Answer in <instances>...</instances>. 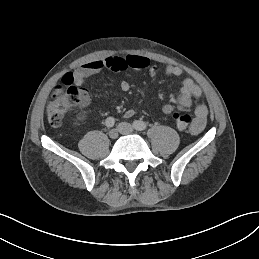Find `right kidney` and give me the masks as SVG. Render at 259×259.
<instances>
[{"instance_id": "ca27d5eb", "label": "right kidney", "mask_w": 259, "mask_h": 259, "mask_svg": "<svg viewBox=\"0 0 259 259\" xmlns=\"http://www.w3.org/2000/svg\"><path fill=\"white\" fill-rule=\"evenodd\" d=\"M85 116L82 114V115H79L78 116V119H83Z\"/></svg>"}]
</instances>
